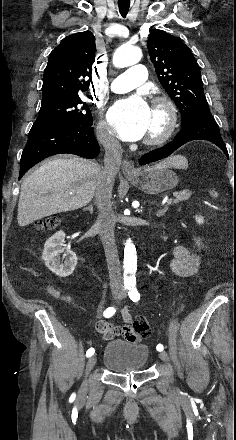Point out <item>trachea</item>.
I'll return each mask as SVG.
<instances>
[{
  "label": "trachea",
  "mask_w": 236,
  "mask_h": 440,
  "mask_svg": "<svg viewBox=\"0 0 236 440\" xmlns=\"http://www.w3.org/2000/svg\"><path fill=\"white\" fill-rule=\"evenodd\" d=\"M119 11L122 17H125L129 11L130 3H118Z\"/></svg>",
  "instance_id": "3493384b"
}]
</instances>
